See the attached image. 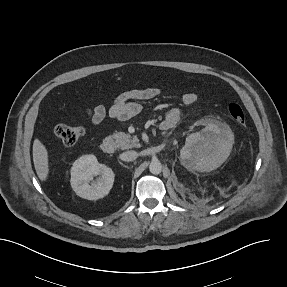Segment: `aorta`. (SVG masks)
Returning a JSON list of instances; mask_svg holds the SVG:
<instances>
[{
    "label": "aorta",
    "instance_id": "762f6f07",
    "mask_svg": "<svg viewBox=\"0 0 287 287\" xmlns=\"http://www.w3.org/2000/svg\"><path fill=\"white\" fill-rule=\"evenodd\" d=\"M149 170L152 174L158 175L162 171V164L159 160H152L149 165Z\"/></svg>",
    "mask_w": 287,
    "mask_h": 287
}]
</instances>
